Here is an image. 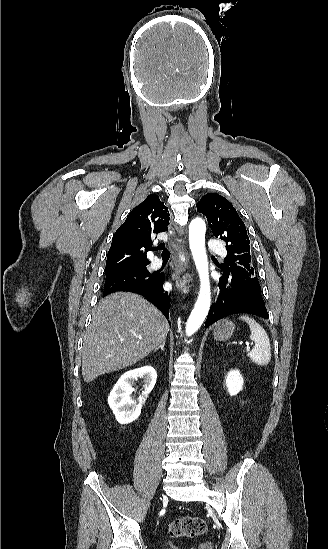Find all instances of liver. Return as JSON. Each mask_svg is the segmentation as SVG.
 I'll return each mask as SVG.
<instances>
[{
  "label": "liver",
  "instance_id": "6515ba94",
  "mask_svg": "<svg viewBox=\"0 0 328 549\" xmlns=\"http://www.w3.org/2000/svg\"><path fill=\"white\" fill-rule=\"evenodd\" d=\"M168 331L164 315L141 295H108L93 309L91 325L85 333V383L141 361L165 341Z\"/></svg>",
  "mask_w": 328,
  "mask_h": 549
}]
</instances>
